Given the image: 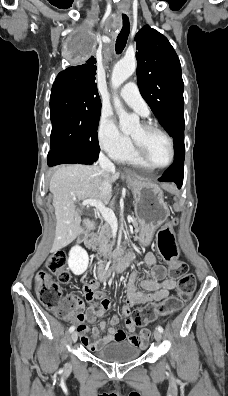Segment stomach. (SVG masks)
<instances>
[{
	"label": "stomach",
	"instance_id": "1",
	"mask_svg": "<svg viewBox=\"0 0 228 396\" xmlns=\"http://www.w3.org/2000/svg\"><path fill=\"white\" fill-rule=\"evenodd\" d=\"M126 181L135 199V215L140 225L138 240L148 245L155 230L168 216L163 191L157 184L136 177L127 176Z\"/></svg>",
	"mask_w": 228,
	"mask_h": 396
}]
</instances>
